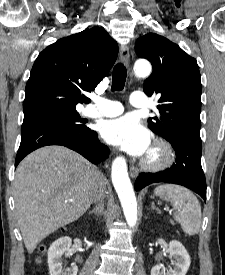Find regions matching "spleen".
I'll list each match as a JSON object with an SVG mask.
<instances>
[{
    "label": "spleen",
    "mask_w": 225,
    "mask_h": 275,
    "mask_svg": "<svg viewBox=\"0 0 225 275\" xmlns=\"http://www.w3.org/2000/svg\"><path fill=\"white\" fill-rule=\"evenodd\" d=\"M154 193L171 202L175 210L174 219L186 234H198L201 228V206L190 190L175 184H164L156 187Z\"/></svg>",
    "instance_id": "3e777b00"
}]
</instances>
